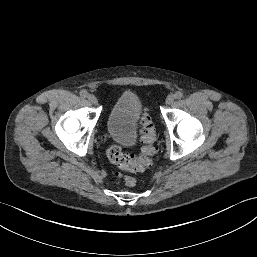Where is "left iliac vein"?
<instances>
[{
    "mask_svg": "<svg viewBox=\"0 0 257 257\" xmlns=\"http://www.w3.org/2000/svg\"><path fill=\"white\" fill-rule=\"evenodd\" d=\"M174 99H175L174 95H172V94L168 95L166 98V104H168V105L172 104L174 102Z\"/></svg>",
    "mask_w": 257,
    "mask_h": 257,
    "instance_id": "left-iliac-vein-1",
    "label": "left iliac vein"
}]
</instances>
